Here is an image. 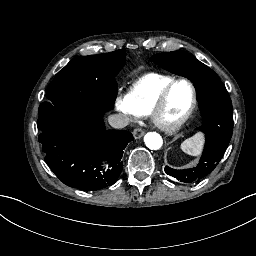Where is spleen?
Segmentation results:
<instances>
[{
	"label": "spleen",
	"mask_w": 256,
	"mask_h": 256,
	"mask_svg": "<svg viewBox=\"0 0 256 256\" xmlns=\"http://www.w3.org/2000/svg\"><path fill=\"white\" fill-rule=\"evenodd\" d=\"M201 146L202 138L199 134L185 139L181 144L182 150L191 155H198L201 151Z\"/></svg>",
	"instance_id": "3e777b00"
}]
</instances>
